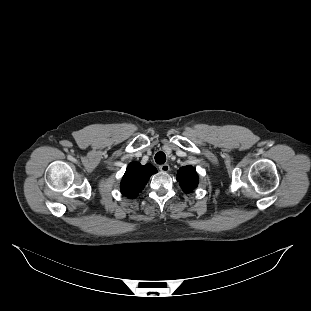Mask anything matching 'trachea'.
Here are the masks:
<instances>
[{"mask_svg":"<svg viewBox=\"0 0 311 311\" xmlns=\"http://www.w3.org/2000/svg\"><path fill=\"white\" fill-rule=\"evenodd\" d=\"M165 161H166V155H165L164 152L160 151V152L156 153V155H155V162L157 164H164Z\"/></svg>","mask_w":311,"mask_h":311,"instance_id":"1","label":"trachea"}]
</instances>
